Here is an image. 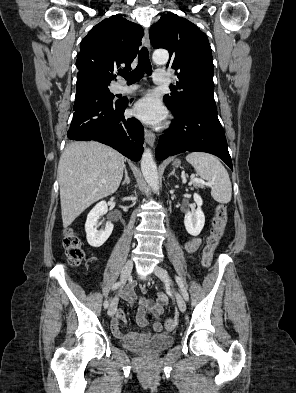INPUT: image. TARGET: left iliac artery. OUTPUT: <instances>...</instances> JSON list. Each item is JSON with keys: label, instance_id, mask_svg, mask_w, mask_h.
<instances>
[{"label": "left iliac artery", "instance_id": "obj_1", "mask_svg": "<svg viewBox=\"0 0 296 393\" xmlns=\"http://www.w3.org/2000/svg\"><path fill=\"white\" fill-rule=\"evenodd\" d=\"M175 281L178 284L184 299L186 301H188L189 300V295H188V292H187V289H186V286H185L183 280L179 276H175Z\"/></svg>", "mask_w": 296, "mask_h": 393}]
</instances>
